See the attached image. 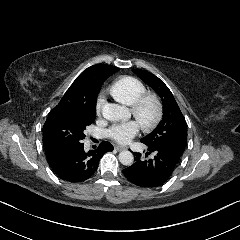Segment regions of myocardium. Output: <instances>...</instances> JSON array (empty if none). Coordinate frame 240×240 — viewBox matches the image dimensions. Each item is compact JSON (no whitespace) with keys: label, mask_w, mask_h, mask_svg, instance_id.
Listing matches in <instances>:
<instances>
[{"label":"myocardium","mask_w":240,"mask_h":240,"mask_svg":"<svg viewBox=\"0 0 240 240\" xmlns=\"http://www.w3.org/2000/svg\"><path fill=\"white\" fill-rule=\"evenodd\" d=\"M147 102H151L153 104L155 108V114L150 122L144 123L141 121V111L143 106ZM131 113L140 124L141 129L143 131L149 132L157 128L160 122L162 121L164 109L160 98L156 94L144 92L135 100V102L131 106Z\"/></svg>","instance_id":"f54148a6"}]
</instances>
